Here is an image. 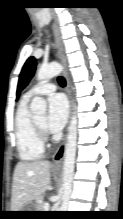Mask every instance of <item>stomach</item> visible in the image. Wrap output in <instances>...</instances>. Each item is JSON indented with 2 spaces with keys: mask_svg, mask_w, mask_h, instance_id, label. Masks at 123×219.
Returning <instances> with one entry per match:
<instances>
[{
  "mask_svg": "<svg viewBox=\"0 0 123 219\" xmlns=\"http://www.w3.org/2000/svg\"><path fill=\"white\" fill-rule=\"evenodd\" d=\"M21 211H35V203L34 202L28 203ZM20 215L25 217L31 214L29 212H24V213H21Z\"/></svg>",
  "mask_w": 123,
  "mask_h": 219,
  "instance_id": "0dacf381",
  "label": "stomach"
}]
</instances>
